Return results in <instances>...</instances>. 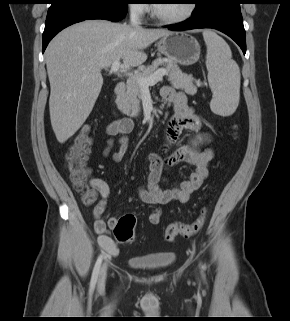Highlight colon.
<instances>
[{
	"instance_id": "colon-1",
	"label": "colon",
	"mask_w": 290,
	"mask_h": 321,
	"mask_svg": "<svg viewBox=\"0 0 290 321\" xmlns=\"http://www.w3.org/2000/svg\"><path fill=\"white\" fill-rule=\"evenodd\" d=\"M91 144L92 138L90 129L87 126H84L74 137L73 142L65 155L66 168L70 180L74 188L83 193L84 202L88 205H91L96 201L95 190L87 184L91 173L88 165ZM205 216L206 210L205 208H202L199 216L192 223H171L165 229V239L168 242H172L179 235L189 237L197 234L204 225ZM135 225L136 216L134 214L129 213L121 216L113 226L116 240L120 243H132L135 238Z\"/></svg>"
}]
</instances>
